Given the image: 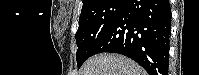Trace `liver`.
Returning a JSON list of instances; mask_svg holds the SVG:
<instances>
[{
	"label": "liver",
	"mask_w": 199,
	"mask_h": 75,
	"mask_svg": "<svg viewBox=\"0 0 199 75\" xmlns=\"http://www.w3.org/2000/svg\"><path fill=\"white\" fill-rule=\"evenodd\" d=\"M79 75H147V73L125 56L104 53L89 58Z\"/></svg>",
	"instance_id": "liver-1"
}]
</instances>
